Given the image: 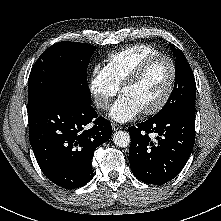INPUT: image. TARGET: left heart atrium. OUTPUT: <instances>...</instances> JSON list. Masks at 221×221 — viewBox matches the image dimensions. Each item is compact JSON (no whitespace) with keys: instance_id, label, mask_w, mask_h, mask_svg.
Returning <instances> with one entry per match:
<instances>
[{"instance_id":"1","label":"left heart atrium","mask_w":221,"mask_h":221,"mask_svg":"<svg viewBox=\"0 0 221 221\" xmlns=\"http://www.w3.org/2000/svg\"><path fill=\"white\" fill-rule=\"evenodd\" d=\"M140 108L129 97L121 95L112 105L109 116L117 122H126L137 116Z\"/></svg>"}]
</instances>
